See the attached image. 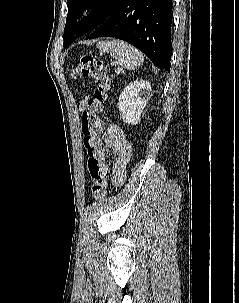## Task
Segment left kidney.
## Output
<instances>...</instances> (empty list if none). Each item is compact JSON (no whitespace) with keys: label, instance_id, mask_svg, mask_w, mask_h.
I'll return each instance as SVG.
<instances>
[{"label":"left kidney","instance_id":"5707ae66","mask_svg":"<svg viewBox=\"0 0 239 303\" xmlns=\"http://www.w3.org/2000/svg\"><path fill=\"white\" fill-rule=\"evenodd\" d=\"M151 96L152 89L148 81H134L126 86L118 100V108L122 120L128 124H138L141 120L143 109Z\"/></svg>","mask_w":239,"mask_h":303}]
</instances>
